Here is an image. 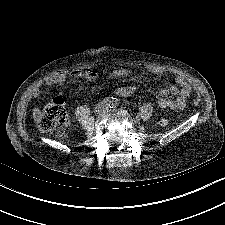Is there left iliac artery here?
I'll return each mask as SVG.
<instances>
[{
  "instance_id": "44dca946",
  "label": "left iliac artery",
  "mask_w": 225,
  "mask_h": 225,
  "mask_svg": "<svg viewBox=\"0 0 225 225\" xmlns=\"http://www.w3.org/2000/svg\"><path fill=\"white\" fill-rule=\"evenodd\" d=\"M120 104L119 100L117 98H114L113 103H112V108L117 107Z\"/></svg>"
}]
</instances>
